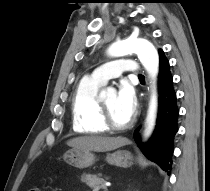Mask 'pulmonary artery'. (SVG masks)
Segmentation results:
<instances>
[{"instance_id":"pulmonary-artery-1","label":"pulmonary artery","mask_w":210,"mask_h":191,"mask_svg":"<svg viewBox=\"0 0 210 191\" xmlns=\"http://www.w3.org/2000/svg\"><path fill=\"white\" fill-rule=\"evenodd\" d=\"M125 71H128L133 75L140 74L139 66L135 61L127 58H120L103 64L90 76L93 80L105 84L108 80L119 77Z\"/></svg>"}]
</instances>
